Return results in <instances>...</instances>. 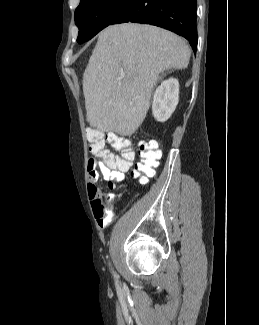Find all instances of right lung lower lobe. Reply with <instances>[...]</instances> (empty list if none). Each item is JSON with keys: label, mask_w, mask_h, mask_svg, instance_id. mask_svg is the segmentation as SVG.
Returning <instances> with one entry per match:
<instances>
[{"label": "right lung lower lobe", "mask_w": 259, "mask_h": 325, "mask_svg": "<svg viewBox=\"0 0 259 325\" xmlns=\"http://www.w3.org/2000/svg\"><path fill=\"white\" fill-rule=\"evenodd\" d=\"M197 0H127L110 24L156 25L185 37L197 49Z\"/></svg>", "instance_id": "obj_1"}]
</instances>
